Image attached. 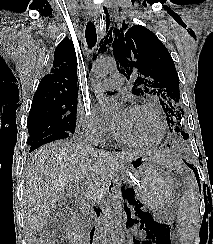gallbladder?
<instances>
[{
  "label": "gallbladder",
  "mask_w": 213,
  "mask_h": 244,
  "mask_svg": "<svg viewBox=\"0 0 213 244\" xmlns=\"http://www.w3.org/2000/svg\"><path fill=\"white\" fill-rule=\"evenodd\" d=\"M69 221V210L61 205L57 206L51 213L46 229L54 232H61L65 229Z\"/></svg>",
  "instance_id": "obj_1"
}]
</instances>
